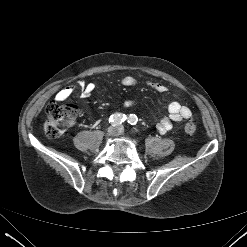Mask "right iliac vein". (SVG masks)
I'll return each mask as SVG.
<instances>
[{
	"mask_svg": "<svg viewBox=\"0 0 247 247\" xmlns=\"http://www.w3.org/2000/svg\"><path fill=\"white\" fill-rule=\"evenodd\" d=\"M117 133H118L117 128H115L113 126L109 127L108 130H107V134L109 136H115Z\"/></svg>",
	"mask_w": 247,
	"mask_h": 247,
	"instance_id": "63e3f726",
	"label": "right iliac vein"
}]
</instances>
